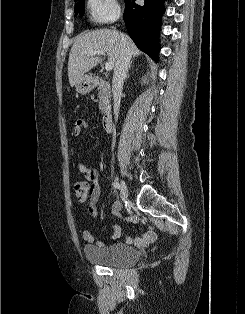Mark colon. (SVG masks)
<instances>
[{
	"mask_svg": "<svg viewBox=\"0 0 245 314\" xmlns=\"http://www.w3.org/2000/svg\"><path fill=\"white\" fill-rule=\"evenodd\" d=\"M73 193L80 202H88L91 196V186L86 180L78 181L73 186Z\"/></svg>",
	"mask_w": 245,
	"mask_h": 314,
	"instance_id": "5ec220e1",
	"label": "colon"
}]
</instances>
